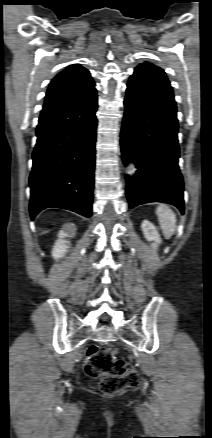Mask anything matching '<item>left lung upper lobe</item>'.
Listing matches in <instances>:
<instances>
[{
  "instance_id": "5c2ea615",
  "label": "left lung upper lobe",
  "mask_w": 212,
  "mask_h": 438,
  "mask_svg": "<svg viewBox=\"0 0 212 438\" xmlns=\"http://www.w3.org/2000/svg\"><path fill=\"white\" fill-rule=\"evenodd\" d=\"M130 79L138 80L173 93L172 87L166 77L165 72L161 68L151 63L139 64L135 68L134 74L130 77Z\"/></svg>"
}]
</instances>
